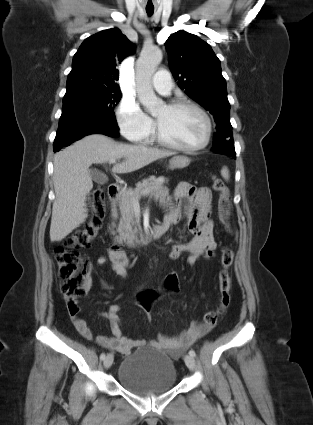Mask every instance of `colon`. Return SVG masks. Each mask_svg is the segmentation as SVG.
Wrapping results in <instances>:
<instances>
[{
    "instance_id": "1",
    "label": "colon",
    "mask_w": 313,
    "mask_h": 425,
    "mask_svg": "<svg viewBox=\"0 0 313 425\" xmlns=\"http://www.w3.org/2000/svg\"><path fill=\"white\" fill-rule=\"evenodd\" d=\"M213 187L219 194L218 210L221 220L228 232L232 228L227 220V211L230 201L229 190L222 179L214 176ZM92 215L79 229L74 231L63 244L55 248L54 254L57 262L58 273L62 279V293L71 308H76L77 299L82 297L87 290L88 280L91 274L89 260L82 256L80 250L87 248L99 234L104 217V191L102 187L95 188L91 193ZM213 248L205 251V257H214ZM233 263V252L225 246L221 249V269L218 274V286L220 302L216 310L209 311L204 316V323L214 327L228 308L231 301L232 281L229 269ZM181 290V280L176 273L168 275L162 285V292L177 294ZM159 296L154 290L141 293L138 303L147 315L152 311L153 301Z\"/></svg>"
}]
</instances>
